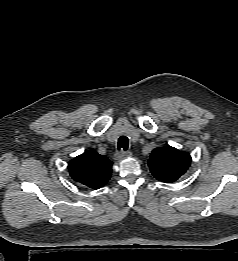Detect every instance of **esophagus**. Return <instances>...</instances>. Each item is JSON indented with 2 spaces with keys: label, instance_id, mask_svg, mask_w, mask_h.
<instances>
[{
  "label": "esophagus",
  "instance_id": "esophagus-1",
  "mask_svg": "<svg viewBox=\"0 0 238 261\" xmlns=\"http://www.w3.org/2000/svg\"><path fill=\"white\" fill-rule=\"evenodd\" d=\"M131 152L130 151H124V150H120L115 154V159L116 160H121L124 157L130 156Z\"/></svg>",
  "mask_w": 238,
  "mask_h": 261
}]
</instances>
